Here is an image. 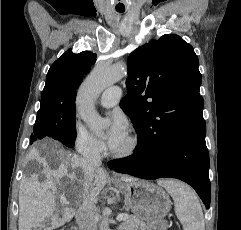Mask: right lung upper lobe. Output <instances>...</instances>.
Segmentation results:
<instances>
[{"label":"right lung upper lobe","instance_id":"1","mask_svg":"<svg viewBox=\"0 0 241 230\" xmlns=\"http://www.w3.org/2000/svg\"><path fill=\"white\" fill-rule=\"evenodd\" d=\"M95 62L96 54L90 51L75 54L71 49L67 50L47 73L38 112L75 110L76 89Z\"/></svg>","mask_w":241,"mask_h":230}]
</instances>
